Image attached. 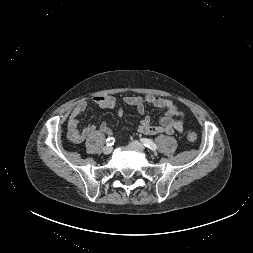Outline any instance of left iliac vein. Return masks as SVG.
Masks as SVG:
<instances>
[{
	"instance_id": "obj_1",
	"label": "left iliac vein",
	"mask_w": 253,
	"mask_h": 253,
	"mask_svg": "<svg viewBox=\"0 0 253 253\" xmlns=\"http://www.w3.org/2000/svg\"><path fill=\"white\" fill-rule=\"evenodd\" d=\"M129 146L139 152H143L145 150L144 146L139 141L130 142Z\"/></svg>"
}]
</instances>
